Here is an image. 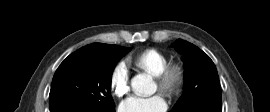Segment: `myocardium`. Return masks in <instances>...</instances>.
I'll use <instances>...</instances> for the list:
<instances>
[{
    "label": "myocardium",
    "instance_id": "f54148a6",
    "mask_svg": "<svg viewBox=\"0 0 270 112\" xmlns=\"http://www.w3.org/2000/svg\"><path fill=\"white\" fill-rule=\"evenodd\" d=\"M158 90L168 98L178 96L185 84L186 71L182 63L170 62L154 76Z\"/></svg>",
    "mask_w": 270,
    "mask_h": 112
}]
</instances>
